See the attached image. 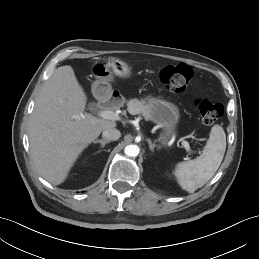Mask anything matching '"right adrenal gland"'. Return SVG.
Here are the masks:
<instances>
[{
	"instance_id": "2a0ac1e0",
	"label": "right adrenal gland",
	"mask_w": 259,
	"mask_h": 259,
	"mask_svg": "<svg viewBox=\"0 0 259 259\" xmlns=\"http://www.w3.org/2000/svg\"><path fill=\"white\" fill-rule=\"evenodd\" d=\"M93 143H94V144L100 143V144H101V148H104L107 143H110V141H108V140H96V141H94ZM99 152H100V151H98L97 153H99Z\"/></svg>"
}]
</instances>
